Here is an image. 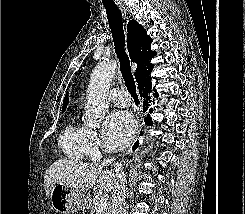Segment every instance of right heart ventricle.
I'll list each match as a JSON object with an SVG mask.
<instances>
[{
  "mask_svg": "<svg viewBox=\"0 0 245 214\" xmlns=\"http://www.w3.org/2000/svg\"><path fill=\"white\" fill-rule=\"evenodd\" d=\"M87 128L71 119L61 132L58 144L64 155L74 161H81L87 156Z\"/></svg>",
  "mask_w": 245,
  "mask_h": 214,
  "instance_id": "e07e8e85",
  "label": "right heart ventricle"
}]
</instances>
